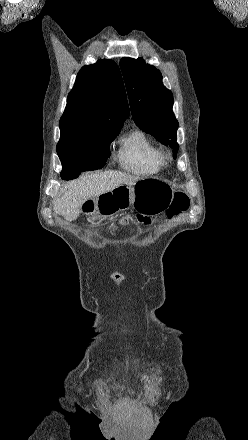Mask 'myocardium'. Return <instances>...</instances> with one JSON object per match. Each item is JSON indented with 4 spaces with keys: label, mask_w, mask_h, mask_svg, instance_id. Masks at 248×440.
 <instances>
[{
    "label": "myocardium",
    "mask_w": 248,
    "mask_h": 440,
    "mask_svg": "<svg viewBox=\"0 0 248 440\" xmlns=\"http://www.w3.org/2000/svg\"><path fill=\"white\" fill-rule=\"evenodd\" d=\"M161 160H162V163H165V162H166V160H167V157H166V156H164V155H162V157H161Z\"/></svg>",
    "instance_id": "1"
}]
</instances>
